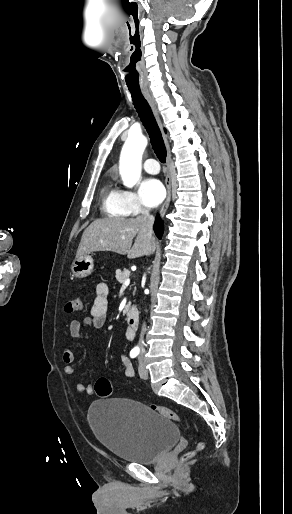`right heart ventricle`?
<instances>
[{
	"label": "right heart ventricle",
	"mask_w": 292,
	"mask_h": 514,
	"mask_svg": "<svg viewBox=\"0 0 292 514\" xmlns=\"http://www.w3.org/2000/svg\"><path fill=\"white\" fill-rule=\"evenodd\" d=\"M99 201L100 210L106 217H121L127 212L121 202L119 189L110 180L100 188Z\"/></svg>",
	"instance_id": "right-heart-ventricle-1"
}]
</instances>
